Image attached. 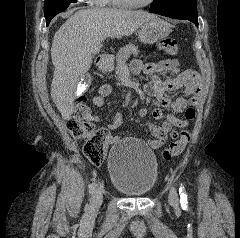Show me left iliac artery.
<instances>
[{"instance_id": "44dca946", "label": "left iliac artery", "mask_w": 240, "mask_h": 238, "mask_svg": "<svg viewBox=\"0 0 240 238\" xmlns=\"http://www.w3.org/2000/svg\"><path fill=\"white\" fill-rule=\"evenodd\" d=\"M179 194H180V203L183 208L187 207V195H186V190L184 186L181 184L179 188Z\"/></svg>"}]
</instances>
